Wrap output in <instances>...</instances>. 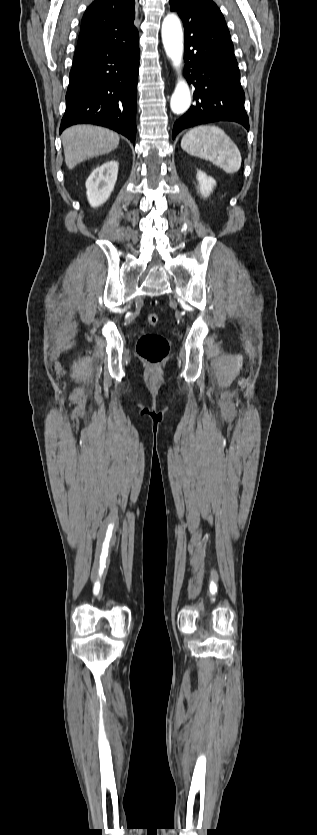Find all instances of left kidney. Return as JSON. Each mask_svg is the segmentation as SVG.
Segmentation results:
<instances>
[{"label":"left kidney","instance_id":"obj_1","mask_svg":"<svg viewBox=\"0 0 317 835\" xmlns=\"http://www.w3.org/2000/svg\"><path fill=\"white\" fill-rule=\"evenodd\" d=\"M196 178L198 181V191L202 197H208L212 192L213 187L216 185V181L212 177L207 176V174L201 170H198Z\"/></svg>","mask_w":317,"mask_h":835}]
</instances>
